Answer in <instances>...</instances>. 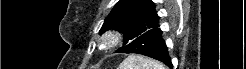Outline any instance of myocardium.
Instances as JSON below:
<instances>
[{"mask_svg": "<svg viewBox=\"0 0 246 69\" xmlns=\"http://www.w3.org/2000/svg\"><path fill=\"white\" fill-rule=\"evenodd\" d=\"M120 37L115 34H109L104 38V42L108 44L109 48L115 47V45L119 42Z\"/></svg>", "mask_w": 246, "mask_h": 69, "instance_id": "f54148a6", "label": "myocardium"}]
</instances>
